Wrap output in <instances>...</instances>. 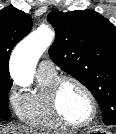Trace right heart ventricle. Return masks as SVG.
I'll return each mask as SVG.
<instances>
[{
    "label": "right heart ventricle",
    "mask_w": 116,
    "mask_h": 134,
    "mask_svg": "<svg viewBox=\"0 0 116 134\" xmlns=\"http://www.w3.org/2000/svg\"><path fill=\"white\" fill-rule=\"evenodd\" d=\"M57 77L56 72L37 73L41 90L24 95L18 110L22 121L43 130H55L62 126L52 113L48 95L49 88Z\"/></svg>",
    "instance_id": "1"
}]
</instances>
